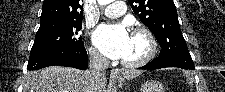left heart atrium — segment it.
Returning a JSON list of instances; mask_svg holds the SVG:
<instances>
[{
    "mask_svg": "<svg viewBox=\"0 0 225 92\" xmlns=\"http://www.w3.org/2000/svg\"><path fill=\"white\" fill-rule=\"evenodd\" d=\"M93 41L96 47L108 58L122 59L130 41V33L126 25H101L95 31Z\"/></svg>",
    "mask_w": 225,
    "mask_h": 92,
    "instance_id": "39dd6f15",
    "label": "left heart atrium"
}]
</instances>
